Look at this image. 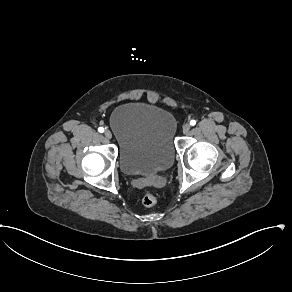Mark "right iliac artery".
Wrapping results in <instances>:
<instances>
[{
    "label": "right iliac artery",
    "instance_id": "obj_1",
    "mask_svg": "<svg viewBox=\"0 0 292 292\" xmlns=\"http://www.w3.org/2000/svg\"><path fill=\"white\" fill-rule=\"evenodd\" d=\"M98 131H99L100 133H103V132H104V128H103V127H99V128H98Z\"/></svg>",
    "mask_w": 292,
    "mask_h": 292
}]
</instances>
